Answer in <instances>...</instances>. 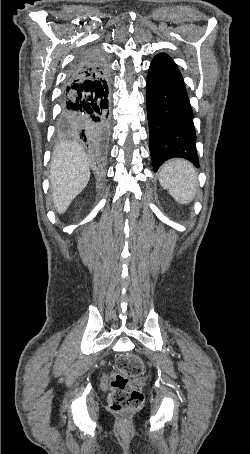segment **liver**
<instances>
[{
    "mask_svg": "<svg viewBox=\"0 0 250 454\" xmlns=\"http://www.w3.org/2000/svg\"><path fill=\"white\" fill-rule=\"evenodd\" d=\"M90 179V169L83 148L75 142H61L52 154L50 183L56 211L63 214Z\"/></svg>",
    "mask_w": 250,
    "mask_h": 454,
    "instance_id": "obj_1",
    "label": "liver"
}]
</instances>
